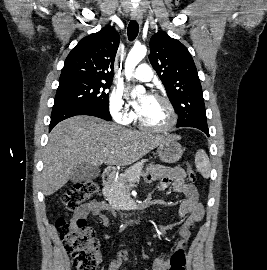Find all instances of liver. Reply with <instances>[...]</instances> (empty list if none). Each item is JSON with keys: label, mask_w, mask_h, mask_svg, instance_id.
Instances as JSON below:
<instances>
[{"label": "liver", "mask_w": 267, "mask_h": 270, "mask_svg": "<svg viewBox=\"0 0 267 270\" xmlns=\"http://www.w3.org/2000/svg\"><path fill=\"white\" fill-rule=\"evenodd\" d=\"M130 130L92 116H75L56 125L44 151L43 193L52 195L70 179L81 163L130 165L168 138Z\"/></svg>", "instance_id": "1"}]
</instances>
